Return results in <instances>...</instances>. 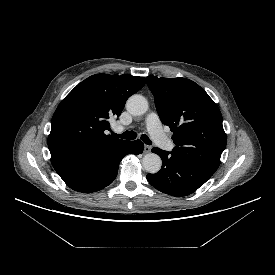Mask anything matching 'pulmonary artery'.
<instances>
[{"mask_svg": "<svg viewBox=\"0 0 275 275\" xmlns=\"http://www.w3.org/2000/svg\"><path fill=\"white\" fill-rule=\"evenodd\" d=\"M146 126L147 130L150 133L154 142L165 150H171L173 147L172 142L168 139V137L164 134L159 117L156 113H150L146 118ZM123 130L122 127H118L117 131Z\"/></svg>", "mask_w": 275, "mask_h": 275, "instance_id": "1", "label": "pulmonary artery"}]
</instances>
